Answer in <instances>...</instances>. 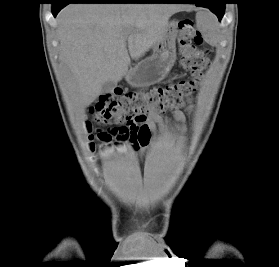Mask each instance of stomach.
I'll list each match as a JSON object with an SVG mask.
<instances>
[{
    "label": "stomach",
    "mask_w": 279,
    "mask_h": 267,
    "mask_svg": "<svg viewBox=\"0 0 279 267\" xmlns=\"http://www.w3.org/2000/svg\"><path fill=\"white\" fill-rule=\"evenodd\" d=\"M178 33L177 22L167 24L162 38L156 43L153 55L130 67L124 77L133 87H147L162 81L176 60L175 39Z\"/></svg>",
    "instance_id": "stomach-1"
}]
</instances>
